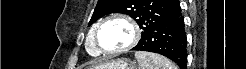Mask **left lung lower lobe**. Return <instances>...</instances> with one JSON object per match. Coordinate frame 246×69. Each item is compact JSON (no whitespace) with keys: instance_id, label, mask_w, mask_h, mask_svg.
<instances>
[{"instance_id":"obj_1","label":"left lung lower lobe","mask_w":246,"mask_h":69,"mask_svg":"<svg viewBox=\"0 0 246 69\" xmlns=\"http://www.w3.org/2000/svg\"><path fill=\"white\" fill-rule=\"evenodd\" d=\"M186 46L184 17L179 5L163 20L145 30L132 50L159 53L173 60L182 69H186Z\"/></svg>"}]
</instances>
